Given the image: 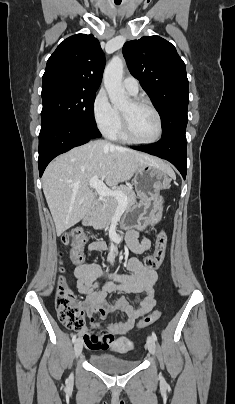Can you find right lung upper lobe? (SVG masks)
<instances>
[{"label": "right lung upper lobe", "instance_id": "cb5924a9", "mask_svg": "<svg viewBox=\"0 0 235 404\" xmlns=\"http://www.w3.org/2000/svg\"><path fill=\"white\" fill-rule=\"evenodd\" d=\"M105 58L93 35L76 34L62 41L47 61L42 86L64 84L97 91Z\"/></svg>", "mask_w": 235, "mask_h": 404}]
</instances>
